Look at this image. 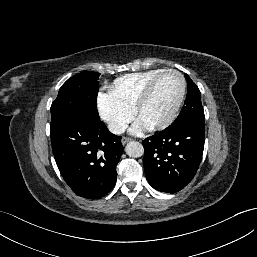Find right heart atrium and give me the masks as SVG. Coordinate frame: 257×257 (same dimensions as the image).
<instances>
[{
	"label": "right heart atrium",
	"mask_w": 257,
	"mask_h": 257,
	"mask_svg": "<svg viewBox=\"0 0 257 257\" xmlns=\"http://www.w3.org/2000/svg\"><path fill=\"white\" fill-rule=\"evenodd\" d=\"M98 109L108 129L115 135L121 134L134 116L133 110L113 101L108 94L99 95Z\"/></svg>",
	"instance_id": "d8ad5b80"
}]
</instances>
